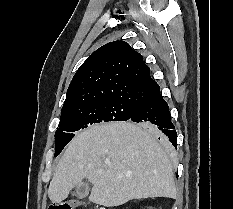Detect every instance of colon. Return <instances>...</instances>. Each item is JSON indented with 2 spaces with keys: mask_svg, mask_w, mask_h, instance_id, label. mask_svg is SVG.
I'll list each match as a JSON object with an SVG mask.
<instances>
[{
  "mask_svg": "<svg viewBox=\"0 0 233 209\" xmlns=\"http://www.w3.org/2000/svg\"><path fill=\"white\" fill-rule=\"evenodd\" d=\"M81 205L83 204L78 200H66L50 205L49 209H76ZM93 209H112V208L97 206L94 207Z\"/></svg>",
  "mask_w": 233,
  "mask_h": 209,
  "instance_id": "colon-1",
  "label": "colon"
}]
</instances>
